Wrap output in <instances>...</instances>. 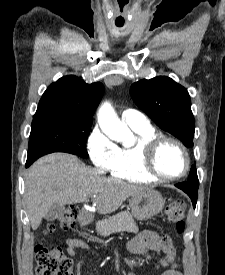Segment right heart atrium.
<instances>
[{
    "mask_svg": "<svg viewBox=\"0 0 225 275\" xmlns=\"http://www.w3.org/2000/svg\"><path fill=\"white\" fill-rule=\"evenodd\" d=\"M91 162L99 171H109L117 158L118 147L99 128H94L87 140Z\"/></svg>",
    "mask_w": 225,
    "mask_h": 275,
    "instance_id": "right-heart-atrium-1",
    "label": "right heart atrium"
}]
</instances>
